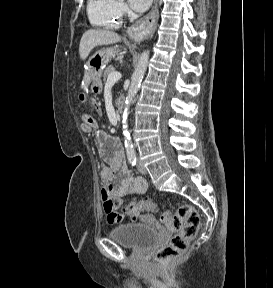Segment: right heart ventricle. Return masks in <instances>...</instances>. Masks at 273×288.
Masks as SVG:
<instances>
[{
    "mask_svg": "<svg viewBox=\"0 0 273 288\" xmlns=\"http://www.w3.org/2000/svg\"><path fill=\"white\" fill-rule=\"evenodd\" d=\"M87 14L92 25L116 29L122 24V16L116 7V0H88Z\"/></svg>",
    "mask_w": 273,
    "mask_h": 288,
    "instance_id": "e07e8e85",
    "label": "right heart ventricle"
}]
</instances>
